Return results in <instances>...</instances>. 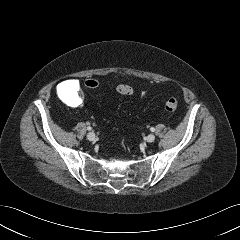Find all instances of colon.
<instances>
[{"label": "colon", "instance_id": "colon-1", "mask_svg": "<svg viewBox=\"0 0 240 240\" xmlns=\"http://www.w3.org/2000/svg\"><path fill=\"white\" fill-rule=\"evenodd\" d=\"M85 86L89 89H96L99 87V82L96 79L90 78L85 81ZM62 90L66 89H73V85L71 82L66 81L61 85ZM117 92L122 95H131L133 93V89L131 86L127 84H120L117 86ZM178 107V101L177 99L172 96L171 94L168 95L166 101H165V108L168 111H175Z\"/></svg>", "mask_w": 240, "mask_h": 240}]
</instances>
